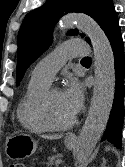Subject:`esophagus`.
<instances>
[{"instance_id": "obj_1", "label": "esophagus", "mask_w": 125, "mask_h": 167, "mask_svg": "<svg viewBox=\"0 0 125 167\" xmlns=\"http://www.w3.org/2000/svg\"><path fill=\"white\" fill-rule=\"evenodd\" d=\"M67 139L68 140H74V139H76V135L73 134V133H70V134L67 135Z\"/></svg>"}]
</instances>
